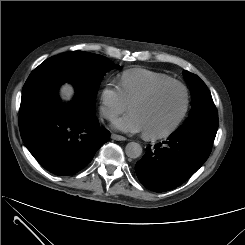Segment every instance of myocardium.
Here are the masks:
<instances>
[{
  "label": "myocardium",
  "mask_w": 245,
  "mask_h": 245,
  "mask_svg": "<svg viewBox=\"0 0 245 245\" xmlns=\"http://www.w3.org/2000/svg\"><path fill=\"white\" fill-rule=\"evenodd\" d=\"M169 86H177L183 90L184 97H185L183 109L179 117L177 118V120L166 130L159 132V133L144 132L143 133L144 137L149 140H160V139L167 138L171 136L181 126L185 117L187 116V113L190 107V92H189L188 87L184 83L177 81V80H169V81L160 82L152 86L150 89H148L143 94L134 98L128 105V109L130 110L133 105L138 104V103H143V102H146L152 99L160 90L166 87H169Z\"/></svg>",
  "instance_id": "1"
}]
</instances>
